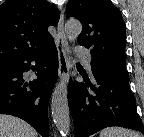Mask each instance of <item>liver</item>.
Returning <instances> with one entry per match:
<instances>
[{
	"mask_svg": "<svg viewBox=\"0 0 144 137\" xmlns=\"http://www.w3.org/2000/svg\"><path fill=\"white\" fill-rule=\"evenodd\" d=\"M37 132L25 121L0 114V137H37Z\"/></svg>",
	"mask_w": 144,
	"mask_h": 137,
	"instance_id": "1",
	"label": "liver"
}]
</instances>
